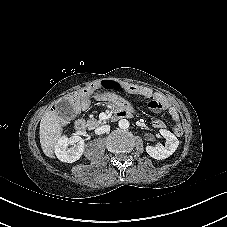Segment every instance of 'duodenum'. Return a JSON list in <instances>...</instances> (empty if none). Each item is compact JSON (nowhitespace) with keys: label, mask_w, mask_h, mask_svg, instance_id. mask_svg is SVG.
I'll return each instance as SVG.
<instances>
[{"label":"duodenum","mask_w":227,"mask_h":227,"mask_svg":"<svg viewBox=\"0 0 227 227\" xmlns=\"http://www.w3.org/2000/svg\"><path fill=\"white\" fill-rule=\"evenodd\" d=\"M121 116H123V114L120 112V111H117L113 116H112V118L114 119V120H116V119H118V118H120ZM79 134L81 135V136H86V125H85V123L84 122H81L80 124H79Z\"/></svg>","instance_id":"410a0bca"}]
</instances>
